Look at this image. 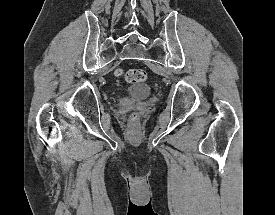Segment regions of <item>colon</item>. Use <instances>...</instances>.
I'll list each match as a JSON object with an SVG mask.
<instances>
[{
	"label": "colon",
	"instance_id": "obj_1",
	"mask_svg": "<svg viewBox=\"0 0 275 215\" xmlns=\"http://www.w3.org/2000/svg\"><path fill=\"white\" fill-rule=\"evenodd\" d=\"M116 75L131 84L146 81L148 78L147 71L140 68L118 69ZM130 116L132 121L138 120L137 112L133 111Z\"/></svg>",
	"mask_w": 275,
	"mask_h": 215
}]
</instances>
